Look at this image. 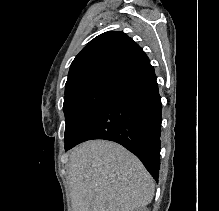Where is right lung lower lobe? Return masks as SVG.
Segmentation results:
<instances>
[{
    "instance_id": "right-lung-lower-lobe-1",
    "label": "right lung lower lobe",
    "mask_w": 219,
    "mask_h": 211,
    "mask_svg": "<svg viewBox=\"0 0 219 211\" xmlns=\"http://www.w3.org/2000/svg\"><path fill=\"white\" fill-rule=\"evenodd\" d=\"M161 97L151 64L118 83L70 149L92 139L117 142L135 154L157 181L160 166Z\"/></svg>"
}]
</instances>
